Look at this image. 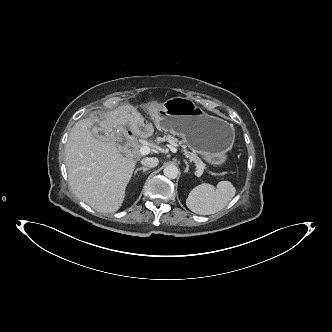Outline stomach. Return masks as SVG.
Wrapping results in <instances>:
<instances>
[{
    "instance_id": "obj_1",
    "label": "stomach",
    "mask_w": 332,
    "mask_h": 332,
    "mask_svg": "<svg viewBox=\"0 0 332 332\" xmlns=\"http://www.w3.org/2000/svg\"><path fill=\"white\" fill-rule=\"evenodd\" d=\"M152 118L159 130L180 136L189 148L215 167L225 163L226 153L235 140L233 126L206 114L187 98L166 100L161 114Z\"/></svg>"
}]
</instances>
